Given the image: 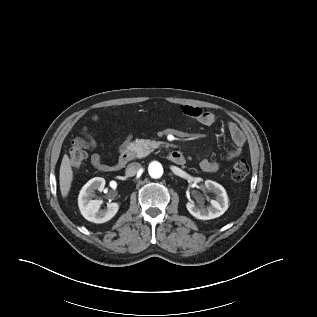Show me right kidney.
<instances>
[{"label": "right kidney", "mask_w": 317, "mask_h": 317, "mask_svg": "<svg viewBox=\"0 0 317 317\" xmlns=\"http://www.w3.org/2000/svg\"><path fill=\"white\" fill-rule=\"evenodd\" d=\"M105 186V179L95 177L89 180L81 189L78 196V206L85 219L94 223H105L112 219L118 212L119 204L110 203L106 210H100L102 201L93 200L94 191H102Z\"/></svg>", "instance_id": "right-kidney-1"}]
</instances>
